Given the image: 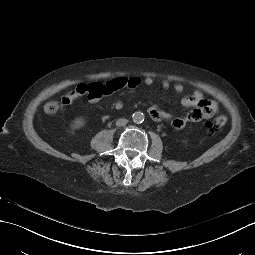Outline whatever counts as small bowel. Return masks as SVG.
Returning <instances> with one entry per match:
<instances>
[{"label": "small bowel", "mask_w": 255, "mask_h": 255, "mask_svg": "<svg viewBox=\"0 0 255 255\" xmlns=\"http://www.w3.org/2000/svg\"><path fill=\"white\" fill-rule=\"evenodd\" d=\"M154 82L153 78L148 77H117L107 82H89L80 83L73 90L67 92L62 97L63 104H70L75 99L80 97H87L92 103L100 101L104 96L110 95L120 89H136L141 85L150 86ZM161 86L164 89H168L171 86L169 80H163ZM173 89L177 93L184 91V86L181 83H175ZM184 107L191 108L189 113L184 117H176L172 120V127L176 130H180L185 127L188 122H198L202 119L211 118L217 111V104L204 96L199 92L195 91L191 95L184 96L181 100ZM116 109L123 107V102L117 100L114 102ZM149 115L154 120H160L166 117V113L160 110L156 106H152L148 109Z\"/></svg>", "instance_id": "obj_1"}]
</instances>
